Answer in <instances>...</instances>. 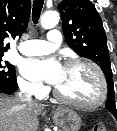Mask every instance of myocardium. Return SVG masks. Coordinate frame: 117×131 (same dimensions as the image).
Listing matches in <instances>:
<instances>
[{
	"instance_id": "obj_1",
	"label": "myocardium",
	"mask_w": 117,
	"mask_h": 131,
	"mask_svg": "<svg viewBox=\"0 0 117 131\" xmlns=\"http://www.w3.org/2000/svg\"><path fill=\"white\" fill-rule=\"evenodd\" d=\"M74 65H85L89 68H91L94 73L96 74L99 84H100V95L99 98L93 102V103H81L72 99H69L65 97L58 89L57 87L54 88L53 94L55 98L62 103H65L67 105L83 109V110H94L102 106L107 98V93H108V88H107V82L105 79V76L100 69V67L95 64L94 62L87 60V59H82V58H75V59H69L64 63V67H70Z\"/></svg>"
}]
</instances>
